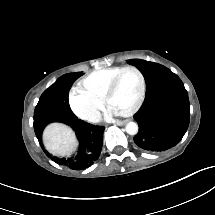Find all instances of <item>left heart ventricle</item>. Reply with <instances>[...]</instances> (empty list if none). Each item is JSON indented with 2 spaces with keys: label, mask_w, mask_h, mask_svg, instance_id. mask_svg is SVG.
Here are the masks:
<instances>
[{
  "label": "left heart ventricle",
  "mask_w": 215,
  "mask_h": 215,
  "mask_svg": "<svg viewBox=\"0 0 215 215\" xmlns=\"http://www.w3.org/2000/svg\"><path fill=\"white\" fill-rule=\"evenodd\" d=\"M136 83V77L132 73H123L119 83L109 97L111 104L118 108L130 106L134 97Z\"/></svg>",
  "instance_id": "b2bd125f"
}]
</instances>
